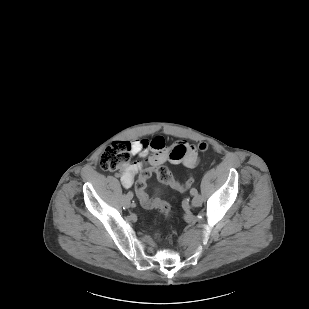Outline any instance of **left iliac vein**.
Instances as JSON below:
<instances>
[{
  "instance_id": "left-iliac-vein-1",
  "label": "left iliac vein",
  "mask_w": 309,
  "mask_h": 309,
  "mask_svg": "<svg viewBox=\"0 0 309 309\" xmlns=\"http://www.w3.org/2000/svg\"><path fill=\"white\" fill-rule=\"evenodd\" d=\"M202 202H203V198H202V196H201L200 194H196V195L193 197V199H192V205H193L194 207L200 206V205L202 204Z\"/></svg>"
}]
</instances>
